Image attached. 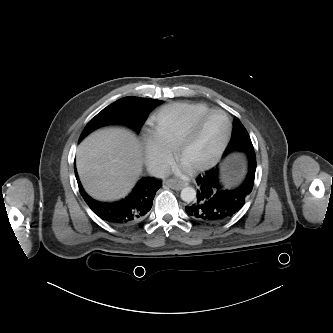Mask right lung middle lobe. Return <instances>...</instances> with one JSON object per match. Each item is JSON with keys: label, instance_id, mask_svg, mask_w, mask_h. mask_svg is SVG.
<instances>
[{"label": "right lung middle lobe", "instance_id": "1", "mask_svg": "<svg viewBox=\"0 0 333 333\" xmlns=\"http://www.w3.org/2000/svg\"><path fill=\"white\" fill-rule=\"evenodd\" d=\"M162 101L140 97H124L99 112L83 130L79 141H81L90 132L108 124H125L137 132L147 119L149 113Z\"/></svg>", "mask_w": 333, "mask_h": 333}]
</instances>
